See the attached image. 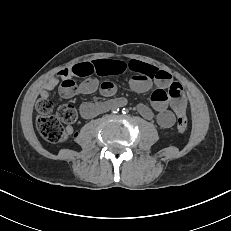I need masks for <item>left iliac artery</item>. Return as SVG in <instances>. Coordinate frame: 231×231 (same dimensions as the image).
<instances>
[{
    "label": "left iliac artery",
    "mask_w": 231,
    "mask_h": 231,
    "mask_svg": "<svg viewBox=\"0 0 231 231\" xmlns=\"http://www.w3.org/2000/svg\"><path fill=\"white\" fill-rule=\"evenodd\" d=\"M122 113H123V114H127V113H128V109L123 108Z\"/></svg>",
    "instance_id": "obj_1"
}]
</instances>
